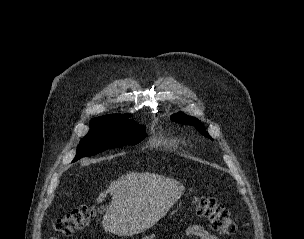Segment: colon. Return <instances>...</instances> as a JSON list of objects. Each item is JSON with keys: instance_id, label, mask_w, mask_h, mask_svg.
Listing matches in <instances>:
<instances>
[{"instance_id": "1", "label": "colon", "mask_w": 304, "mask_h": 239, "mask_svg": "<svg viewBox=\"0 0 304 239\" xmlns=\"http://www.w3.org/2000/svg\"><path fill=\"white\" fill-rule=\"evenodd\" d=\"M197 215L209 219L211 228L223 236L233 235L236 224L228 208L214 197L202 196L194 201ZM97 209L89 205H81L58 218L54 223V230L63 236H71L87 226L97 215Z\"/></svg>"}]
</instances>
